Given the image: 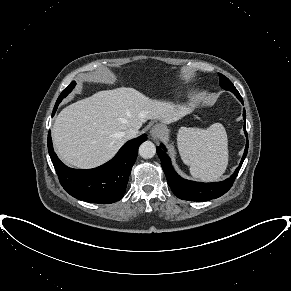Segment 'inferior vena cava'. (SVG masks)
Instances as JSON below:
<instances>
[{"instance_id": "inferior-vena-cava-1", "label": "inferior vena cava", "mask_w": 291, "mask_h": 291, "mask_svg": "<svg viewBox=\"0 0 291 291\" xmlns=\"http://www.w3.org/2000/svg\"><path fill=\"white\" fill-rule=\"evenodd\" d=\"M138 134V130L135 128H128L125 131L122 132V136L125 139H130L133 138L134 136H136Z\"/></svg>"}]
</instances>
